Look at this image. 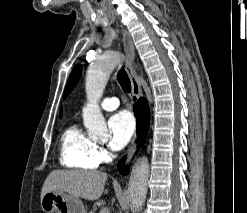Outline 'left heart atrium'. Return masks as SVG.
I'll return each mask as SVG.
<instances>
[{"mask_svg":"<svg viewBox=\"0 0 247 213\" xmlns=\"http://www.w3.org/2000/svg\"><path fill=\"white\" fill-rule=\"evenodd\" d=\"M110 130L109 147L112 150L124 148L135 131V120L131 113L120 111L112 115L108 122Z\"/></svg>","mask_w":247,"mask_h":213,"instance_id":"left-heart-atrium-1","label":"left heart atrium"}]
</instances>
